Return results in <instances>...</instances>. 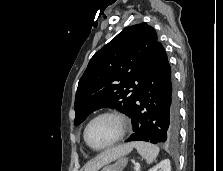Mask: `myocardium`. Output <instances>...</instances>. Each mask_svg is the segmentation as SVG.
Wrapping results in <instances>:
<instances>
[{"mask_svg": "<svg viewBox=\"0 0 223 171\" xmlns=\"http://www.w3.org/2000/svg\"><path fill=\"white\" fill-rule=\"evenodd\" d=\"M102 117H112V118L116 119L117 122L119 123V126H120V132H119L118 136L111 143H109V144H107L103 147H94L93 145H91V143L88 140L87 132H88V129H89L90 125L95 120H97L99 118H102ZM128 128H129V122H128V119L126 118V116L124 114H122L120 112H117V111H104V112H101V113L95 115L93 118H91L89 120V122L86 124V126L84 128L83 137H84V140H85L86 144L91 149H93L95 151H102V150H105V149H108V148L114 146L120 140H122L123 137L125 136V134L127 133Z\"/></svg>", "mask_w": 223, "mask_h": 171, "instance_id": "1", "label": "myocardium"}]
</instances>
